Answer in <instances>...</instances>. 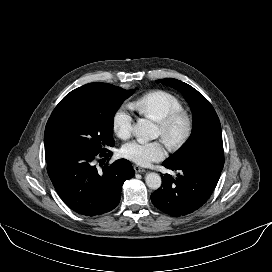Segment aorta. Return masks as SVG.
I'll return each mask as SVG.
<instances>
[{
  "label": "aorta",
  "mask_w": 272,
  "mask_h": 272,
  "mask_svg": "<svg viewBox=\"0 0 272 272\" xmlns=\"http://www.w3.org/2000/svg\"><path fill=\"white\" fill-rule=\"evenodd\" d=\"M134 133L145 140H153L158 137L157 127L147 119H140L134 125ZM146 184L150 189L157 190L160 188L162 181L159 174L151 172L145 178Z\"/></svg>",
  "instance_id": "762f6f07"
}]
</instances>
